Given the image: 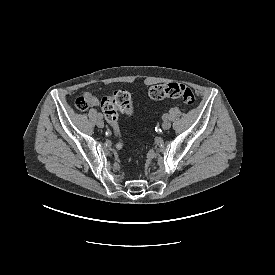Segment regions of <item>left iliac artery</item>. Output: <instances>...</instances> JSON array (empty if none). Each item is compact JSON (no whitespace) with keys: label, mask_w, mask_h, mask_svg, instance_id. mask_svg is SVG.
I'll list each match as a JSON object with an SVG mask.
<instances>
[{"label":"left iliac artery","mask_w":275,"mask_h":275,"mask_svg":"<svg viewBox=\"0 0 275 275\" xmlns=\"http://www.w3.org/2000/svg\"><path fill=\"white\" fill-rule=\"evenodd\" d=\"M167 118H168V114H164V115H163V119L166 120Z\"/></svg>","instance_id":"obj_1"}]
</instances>
